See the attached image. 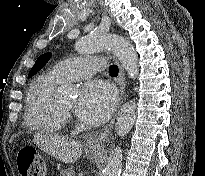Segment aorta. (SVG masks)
Masks as SVG:
<instances>
[{"label": "aorta", "instance_id": "obj_1", "mask_svg": "<svg viewBox=\"0 0 205 176\" xmlns=\"http://www.w3.org/2000/svg\"><path fill=\"white\" fill-rule=\"evenodd\" d=\"M110 50L121 62L130 78L135 79L139 72L138 57L133 46L124 37L116 34H92L79 39L75 43V50L80 54H88L102 50ZM66 91L74 94L75 90L68 87ZM136 119V104L134 100L125 103L116 120L115 130L119 137L127 135ZM122 150L116 146L109 156L103 176H120L122 168Z\"/></svg>", "mask_w": 205, "mask_h": 176}]
</instances>
